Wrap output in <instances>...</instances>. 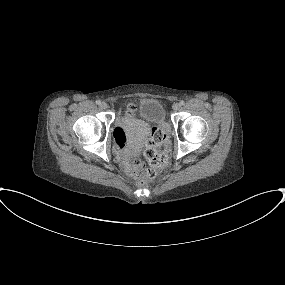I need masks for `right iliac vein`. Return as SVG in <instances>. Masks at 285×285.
Instances as JSON below:
<instances>
[{"label": "right iliac vein", "mask_w": 285, "mask_h": 285, "mask_svg": "<svg viewBox=\"0 0 285 285\" xmlns=\"http://www.w3.org/2000/svg\"><path fill=\"white\" fill-rule=\"evenodd\" d=\"M100 107H101L102 109H106V108H108V105H107L106 102H102V103L100 104Z\"/></svg>", "instance_id": "obj_1"}]
</instances>
